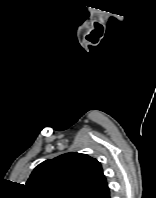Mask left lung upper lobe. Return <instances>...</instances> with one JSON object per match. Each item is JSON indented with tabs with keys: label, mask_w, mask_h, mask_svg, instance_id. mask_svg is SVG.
Listing matches in <instances>:
<instances>
[{
	"label": "left lung upper lobe",
	"mask_w": 156,
	"mask_h": 198,
	"mask_svg": "<svg viewBox=\"0 0 156 198\" xmlns=\"http://www.w3.org/2000/svg\"><path fill=\"white\" fill-rule=\"evenodd\" d=\"M26 187L33 198H96L108 185L96 159L66 153L39 164Z\"/></svg>",
	"instance_id": "left-lung-upper-lobe-1"
}]
</instances>
